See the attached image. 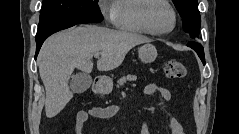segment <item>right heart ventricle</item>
<instances>
[{
    "label": "right heart ventricle",
    "instance_id": "e07e8e85",
    "mask_svg": "<svg viewBox=\"0 0 239 134\" xmlns=\"http://www.w3.org/2000/svg\"><path fill=\"white\" fill-rule=\"evenodd\" d=\"M145 0L115 1V26L123 31L149 33L141 23L140 11Z\"/></svg>",
    "mask_w": 239,
    "mask_h": 134
}]
</instances>
